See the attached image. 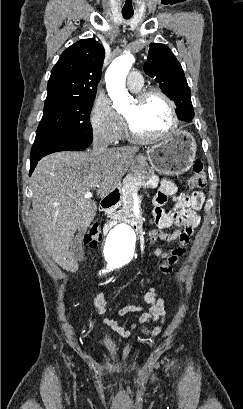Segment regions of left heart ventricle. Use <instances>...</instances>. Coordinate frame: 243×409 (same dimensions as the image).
Here are the masks:
<instances>
[{"instance_id":"b2bd125f","label":"left heart ventricle","mask_w":243,"mask_h":409,"mask_svg":"<svg viewBox=\"0 0 243 409\" xmlns=\"http://www.w3.org/2000/svg\"><path fill=\"white\" fill-rule=\"evenodd\" d=\"M123 114L138 132L145 135L159 134L171 124L168 106L158 96H151L141 104L133 100Z\"/></svg>"}]
</instances>
